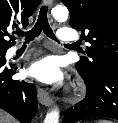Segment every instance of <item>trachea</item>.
Masks as SVG:
<instances>
[{"mask_svg":"<svg viewBox=\"0 0 118 123\" xmlns=\"http://www.w3.org/2000/svg\"><path fill=\"white\" fill-rule=\"evenodd\" d=\"M47 11H48L47 6H43L39 12V16L34 27L28 32H24L21 30L16 31V34L18 36L25 37V41L29 42L34 40L36 37H38L40 33L43 31L44 34L47 35L49 38L53 40H57L49 25L48 18H47Z\"/></svg>","mask_w":118,"mask_h":123,"instance_id":"3493384b","label":"trachea"}]
</instances>
